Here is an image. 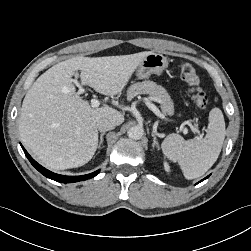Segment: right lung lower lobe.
Returning a JSON list of instances; mask_svg holds the SVG:
<instances>
[{"instance_id": "right-lung-lower-lobe-1", "label": "right lung lower lobe", "mask_w": 251, "mask_h": 251, "mask_svg": "<svg viewBox=\"0 0 251 251\" xmlns=\"http://www.w3.org/2000/svg\"><path fill=\"white\" fill-rule=\"evenodd\" d=\"M24 153L26 155V157L29 159V161L31 162V164L41 173L43 174L45 177L50 178L52 180H55L57 182L60 183H73V182H79V181H83V180H87L90 178H93L94 176H96L100 170H97L91 174H87V175H81V176H64V175H59L56 173H53L49 170H47L46 168L42 167L40 164H38L29 154L28 152L24 149V147L22 146Z\"/></svg>"}]
</instances>
